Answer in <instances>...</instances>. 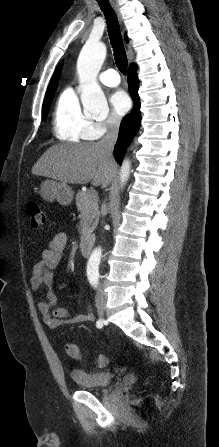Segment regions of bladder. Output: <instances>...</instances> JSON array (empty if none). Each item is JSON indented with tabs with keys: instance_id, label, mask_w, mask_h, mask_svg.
Masks as SVG:
<instances>
[{
	"instance_id": "bladder-1",
	"label": "bladder",
	"mask_w": 219,
	"mask_h": 447,
	"mask_svg": "<svg viewBox=\"0 0 219 447\" xmlns=\"http://www.w3.org/2000/svg\"><path fill=\"white\" fill-rule=\"evenodd\" d=\"M70 377L82 390L103 389L109 386L113 379L110 372H87L80 369H72Z\"/></svg>"
}]
</instances>
